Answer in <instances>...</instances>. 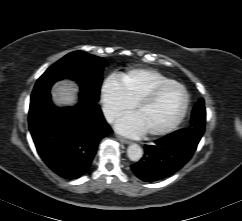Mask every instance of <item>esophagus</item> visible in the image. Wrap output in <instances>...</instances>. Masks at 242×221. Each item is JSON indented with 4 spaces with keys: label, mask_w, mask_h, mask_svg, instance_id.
Wrapping results in <instances>:
<instances>
[{
    "label": "esophagus",
    "mask_w": 242,
    "mask_h": 221,
    "mask_svg": "<svg viewBox=\"0 0 242 221\" xmlns=\"http://www.w3.org/2000/svg\"><path fill=\"white\" fill-rule=\"evenodd\" d=\"M116 137L118 138V140H120L122 143H125V144H130L131 141L129 139H126L120 135H116Z\"/></svg>",
    "instance_id": "1"
}]
</instances>
